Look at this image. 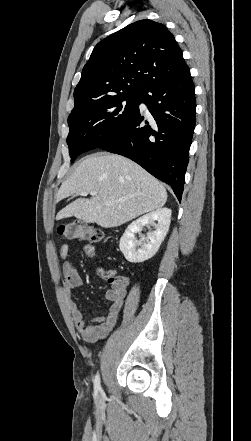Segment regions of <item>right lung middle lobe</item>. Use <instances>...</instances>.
<instances>
[{"label": "right lung middle lobe", "instance_id": "1", "mask_svg": "<svg viewBox=\"0 0 251 441\" xmlns=\"http://www.w3.org/2000/svg\"><path fill=\"white\" fill-rule=\"evenodd\" d=\"M139 102L140 95H119L87 102L72 112L67 137L71 162L118 134L137 112Z\"/></svg>", "mask_w": 251, "mask_h": 441}]
</instances>
